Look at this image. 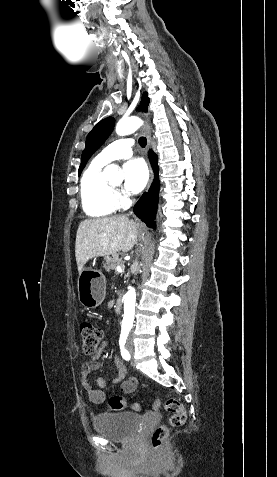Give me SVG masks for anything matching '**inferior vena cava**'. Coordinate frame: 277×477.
<instances>
[{
  "label": "inferior vena cava",
  "mask_w": 277,
  "mask_h": 477,
  "mask_svg": "<svg viewBox=\"0 0 277 477\" xmlns=\"http://www.w3.org/2000/svg\"><path fill=\"white\" fill-rule=\"evenodd\" d=\"M131 213H132V212H131ZM131 213H130V214H131ZM134 266L136 267V270H135L134 276H136V275H137V273H138V270H139V264H138V261H137V260H135V261H134Z\"/></svg>",
  "instance_id": "obj_1"
}]
</instances>
